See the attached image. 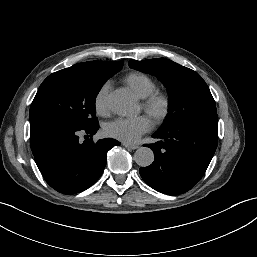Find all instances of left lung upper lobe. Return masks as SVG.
Returning a JSON list of instances; mask_svg holds the SVG:
<instances>
[{"mask_svg": "<svg viewBox=\"0 0 257 257\" xmlns=\"http://www.w3.org/2000/svg\"><path fill=\"white\" fill-rule=\"evenodd\" d=\"M135 70L156 76L170 95V114L160 129L210 112H216L211 92L195 71L165 58L144 61L130 60Z\"/></svg>", "mask_w": 257, "mask_h": 257, "instance_id": "left-lung-upper-lobe-1", "label": "left lung upper lobe"}]
</instances>
